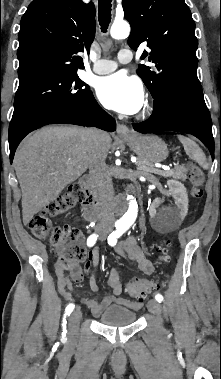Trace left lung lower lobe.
<instances>
[{
    "label": "left lung lower lobe",
    "instance_id": "1",
    "mask_svg": "<svg viewBox=\"0 0 221 379\" xmlns=\"http://www.w3.org/2000/svg\"><path fill=\"white\" fill-rule=\"evenodd\" d=\"M132 125L140 133L177 131L192 134L208 147L214 157L212 121L204 99L162 93L154 100L150 118Z\"/></svg>",
    "mask_w": 221,
    "mask_h": 379
}]
</instances>
